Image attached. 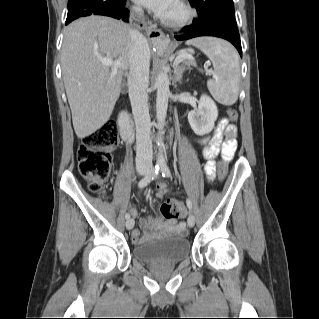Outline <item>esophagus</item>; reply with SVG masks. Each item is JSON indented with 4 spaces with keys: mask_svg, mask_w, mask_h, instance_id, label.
I'll use <instances>...</instances> for the list:
<instances>
[{
    "mask_svg": "<svg viewBox=\"0 0 319 319\" xmlns=\"http://www.w3.org/2000/svg\"><path fill=\"white\" fill-rule=\"evenodd\" d=\"M141 26L147 28V25L144 21L141 22ZM147 35L153 42H158L165 38V34L157 27H149L147 30Z\"/></svg>",
    "mask_w": 319,
    "mask_h": 319,
    "instance_id": "1",
    "label": "esophagus"
}]
</instances>
